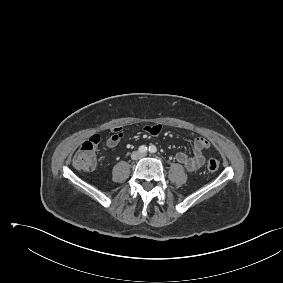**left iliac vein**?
Masks as SVG:
<instances>
[{
    "instance_id": "obj_1",
    "label": "left iliac vein",
    "mask_w": 283,
    "mask_h": 283,
    "mask_svg": "<svg viewBox=\"0 0 283 283\" xmlns=\"http://www.w3.org/2000/svg\"><path fill=\"white\" fill-rule=\"evenodd\" d=\"M146 156V154L144 153V154H141V157H145Z\"/></svg>"
}]
</instances>
